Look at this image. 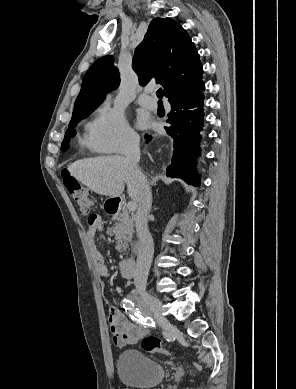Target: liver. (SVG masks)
<instances>
[{"label": "liver", "instance_id": "6515ba94", "mask_svg": "<svg viewBox=\"0 0 296 389\" xmlns=\"http://www.w3.org/2000/svg\"><path fill=\"white\" fill-rule=\"evenodd\" d=\"M69 173L97 194L118 197L127 185L131 199L139 203L140 188L126 157L101 156L78 160L68 166Z\"/></svg>", "mask_w": 296, "mask_h": 389}]
</instances>
